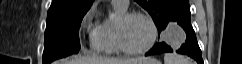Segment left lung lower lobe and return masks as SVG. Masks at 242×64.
<instances>
[{"instance_id": "0a47b994", "label": "left lung lower lobe", "mask_w": 242, "mask_h": 64, "mask_svg": "<svg viewBox=\"0 0 242 64\" xmlns=\"http://www.w3.org/2000/svg\"><path fill=\"white\" fill-rule=\"evenodd\" d=\"M177 24L180 25L185 33H186V41L185 43L176 50L179 54L188 55L194 60L197 61L198 64H204L202 60L201 50L199 48L195 32L193 27L191 26V16L190 14L184 15L176 20ZM174 50L168 46L165 42L156 43L155 46L148 51L145 56L156 55L166 52H173Z\"/></svg>"}]
</instances>
